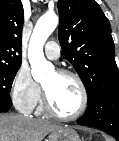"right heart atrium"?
I'll use <instances>...</instances> for the list:
<instances>
[{
	"label": "right heart atrium",
	"instance_id": "1",
	"mask_svg": "<svg viewBox=\"0 0 119 141\" xmlns=\"http://www.w3.org/2000/svg\"><path fill=\"white\" fill-rule=\"evenodd\" d=\"M41 97L39 85L34 81L30 71L20 67L11 84V98L15 107L22 113H30L37 106Z\"/></svg>",
	"mask_w": 119,
	"mask_h": 141
}]
</instances>
